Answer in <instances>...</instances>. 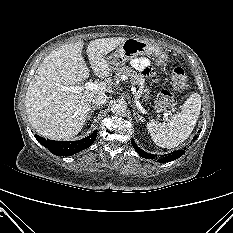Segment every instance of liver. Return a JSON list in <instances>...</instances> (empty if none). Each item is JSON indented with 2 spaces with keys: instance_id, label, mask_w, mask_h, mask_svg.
<instances>
[{
  "instance_id": "1",
  "label": "liver",
  "mask_w": 233,
  "mask_h": 233,
  "mask_svg": "<svg viewBox=\"0 0 233 233\" xmlns=\"http://www.w3.org/2000/svg\"><path fill=\"white\" fill-rule=\"evenodd\" d=\"M126 38L113 37L90 41L87 55L94 74L107 78L112 71L106 57ZM84 42L77 41L53 50L45 57L26 92L25 106L32 128L41 136L67 140L83 128L91 99L107 90H83L78 93L62 90L89 77V68L82 56ZM107 88L105 84H101Z\"/></svg>"
}]
</instances>
